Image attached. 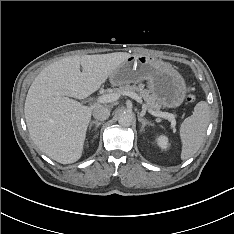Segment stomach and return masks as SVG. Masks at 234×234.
<instances>
[{
    "mask_svg": "<svg viewBox=\"0 0 234 234\" xmlns=\"http://www.w3.org/2000/svg\"><path fill=\"white\" fill-rule=\"evenodd\" d=\"M109 80L114 86L147 80L149 92L165 108L180 106L187 92L184 78L172 65L147 55H131L111 73Z\"/></svg>",
    "mask_w": 234,
    "mask_h": 234,
    "instance_id": "obj_1",
    "label": "stomach"
}]
</instances>
